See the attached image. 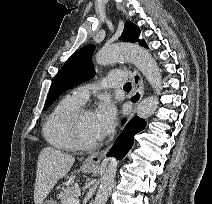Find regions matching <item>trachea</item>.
<instances>
[{
	"label": "trachea",
	"instance_id": "3493384b",
	"mask_svg": "<svg viewBox=\"0 0 212 204\" xmlns=\"http://www.w3.org/2000/svg\"><path fill=\"white\" fill-rule=\"evenodd\" d=\"M125 90H131V83L130 82H127L124 87H123Z\"/></svg>",
	"mask_w": 212,
	"mask_h": 204
}]
</instances>
